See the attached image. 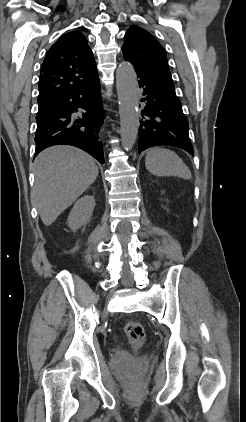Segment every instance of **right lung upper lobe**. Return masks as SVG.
<instances>
[{"mask_svg":"<svg viewBox=\"0 0 246 422\" xmlns=\"http://www.w3.org/2000/svg\"><path fill=\"white\" fill-rule=\"evenodd\" d=\"M98 76L92 50L80 31L62 35L49 49L39 78L38 106L93 81Z\"/></svg>","mask_w":246,"mask_h":422,"instance_id":"right-lung-upper-lobe-1","label":"right lung upper lobe"}]
</instances>
